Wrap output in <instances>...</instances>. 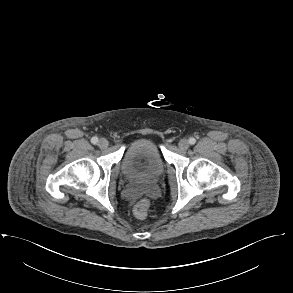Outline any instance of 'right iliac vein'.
<instances>
[{
  "mask_svg": "<svg viewBox=\"0 0 293 293\" xmlns=\"http://www.w3.org/2000/svg\"><path fill=\"white\" fill-rule=\"evenodd\" d=\"M108 141L105 139V138H101L99 141H98V146L100 148H107L108 147Z\"/></svg>",
  "mask_w": 293,
  "mask_h": 293,
  "instance_id": "63e3f726",
  "label": "right iliac vein"
}]
</instances>
